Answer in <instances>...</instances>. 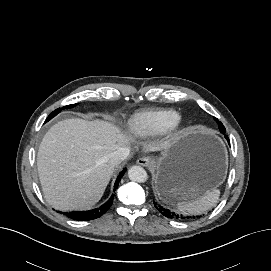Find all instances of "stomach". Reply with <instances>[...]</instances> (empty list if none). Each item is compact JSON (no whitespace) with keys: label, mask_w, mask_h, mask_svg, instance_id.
Listing matches in <instances>:
<instances>
[{"label":"stomach","mask_w":271,"mask_h":271,"mask_svg":"<svg viewBox=\"0 0 271 271\" xmlns=\"http://www.w3.org/2000/svg\"><path fill=\"white\" fill-rule=\"evenodd\" d=\"M227 164L220 138L208 130L189 129L153 160L155 193L170 204L201 197L222 183Z\"/></svg>","instance_id":"0dacf381"}]
</instances>
